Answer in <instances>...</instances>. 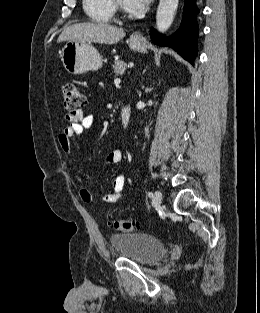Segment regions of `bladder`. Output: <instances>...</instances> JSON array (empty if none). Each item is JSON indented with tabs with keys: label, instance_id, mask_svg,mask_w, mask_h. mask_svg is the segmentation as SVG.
Wrapping results in <instances>:
<instances>
[{
	"label": "bladder",
	"instance_id": "31cf9c89",
	"mask_svg": "<svg viewBox=\"0 0 260 313\" xmlns=\"http://www.w3.org/2000/svg\"><path fill=\"white\" fill-rule=\"evenodd\" d=\"M110 243L124 258L148 265L166 254V246L155 237L144 233L111 235Z\"/></svg>",
	"mask_w": 260,
	"mask_h": 313
}]
</instances>
